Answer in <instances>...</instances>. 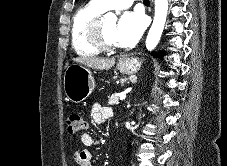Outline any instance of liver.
Masks as SVG:
<instances>
[{
  "label": "liver",
  "instance_id": "1",
  "mask_svg": "<svg viewBox=\"0 0 227 166\" xmlns=\"http://www.w3.org/2000/svg\"><path fill=\"white\" fill-rule=\"evenodd\" d=\"M73 61L80 65L97 70H108L115 64L114 58L109 59L90 56L77 57L74 58Z\"/></svg>",
  "mask_w": 227,
  "mask_h": 166
}]
</instances>
